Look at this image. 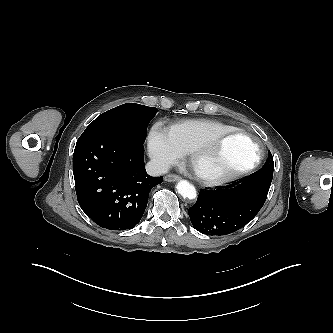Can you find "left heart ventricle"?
<instances>
[{
  "label": "left heart ventricle",
  "mask_w": 333,
  "mask_h": 333,
  "mask_svg": "<svg viewBox=\"0 0 333 333\" xmlns=\"http://www.w3.org/2000/svg\"><path fill=\"white\" fill-rule=\"evenodd\" d=\"M256 154L254 145L243 136L224 139L213 153L201 158L197 169L205 174L222 173L250 163Z\"/></svg>",
  "instance_id": "1"
}]
</instances>
